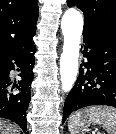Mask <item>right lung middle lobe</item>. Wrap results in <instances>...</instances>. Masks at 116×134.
<instances>
[{"label": "right lung middle lobe", "instance_id": "right-lung-middle-lobe-1", "mask_svg": "<svg viewBox=\"0 0 116 134\" xmlns=\"http://www.w3.org/2000/svg\"><path fill=\"white\" fill-rule=\"evenodd\" d=\"M0 71H2V66H0Z\"/></svg>", "mask_w": 116, "mask_h": 134}]
</instances>
